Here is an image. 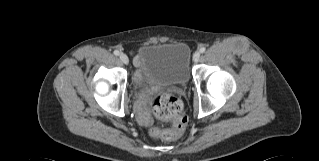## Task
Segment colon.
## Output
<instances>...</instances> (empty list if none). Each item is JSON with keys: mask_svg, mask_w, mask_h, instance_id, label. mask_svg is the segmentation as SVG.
Here are the masks:
<instances>
[{"mask_svg": "<svg viewBox=\"0 0 319 161\" xmlns=\"http://www.w3.org/2000/svg\"><path fill=\"white\" fill-rule=\"evenodd\" d=\"M149 104L153 114L158 119L173 125L172 129L155 128L154 132L166 140L179 139L184 133L187 123L182 101L170 94H156L150 99Z\"/></svg>", "mask_w": 319, "mask_h": 161, "instance_id": "1", "label": "colon"}]
</instances>
